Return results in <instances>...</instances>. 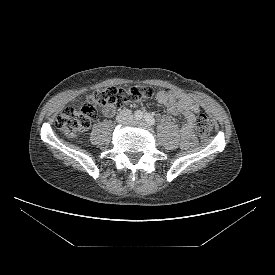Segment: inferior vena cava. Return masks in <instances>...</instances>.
Segmentation results:
<instances>
[{"mask_svg": "<svg viewBox=\"0 0 275 275\" xmlns=\"http://www.w3.org/2000/svg\"><path fill=\"white\" fill-rule=\"evenodd\" d=\"M133 119V115L130 110H122L119 115L117 116L118 122H128Z\"/></svg>", "mask_w": 275, "mask_h": 275, "instance_id": "obj_1", "label": "inferior vena cava"}]
</instances>
